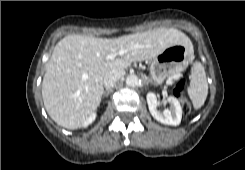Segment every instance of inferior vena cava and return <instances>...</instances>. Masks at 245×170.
<instances>
[{"mask_svg":"<svg viewBox=\"0 0 245 170\" xmlns=\"http://www.w3.org/2000/svg\"><path fill=\"white\" fill-rule=\"evenodd\" d=\"M124 74V71H112L107 73L104 77V86L106 89L112 88Z\"/></svg>","mask_w":245,"mask_h":170,"instance_id":"inferior-vena-cava-1","label":"inferior vena cava"}]
</instances>
